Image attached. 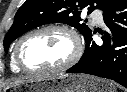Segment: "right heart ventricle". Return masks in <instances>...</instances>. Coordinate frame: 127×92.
Listing matches in <instances>:
<instances>
[{"label": "right heart ventricle", "instance_id": "1", "mask_svg": "<svg viewBox=\"0 0 127 92\" xmlns=\"http://www.w3.org/2000/svg\"><path fill=\"white\" fill-rule=\"evenodd\" d=\"M10 68H11V70L14 73H20L21 72V70L18 68V66L15 63V60H14V52L11 55Z\"/></svg>", "mask_w": 127, "mask_h": 92}]
</instances>
